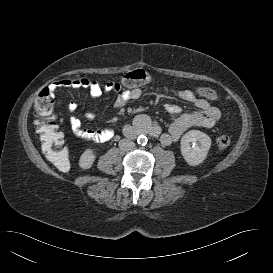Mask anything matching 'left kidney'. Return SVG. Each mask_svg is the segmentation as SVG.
<instances>
[{
  "label": "left kidney",
  "mask_w": 273,
  "mask_h": 273,
  "mask_svg": "<svg viewBox=\"0 0 273 273\" xmlns=\"http://www.w3.org/2000/svg\"><path fill=\"white\" fill-rule=\"evenodd\" d=\"M210 147L211 138L199 130H190L181 138V154L191 166L202 163L207 157Z\"/></svg>",
  "instance_id": "1"
}]
</instances>
